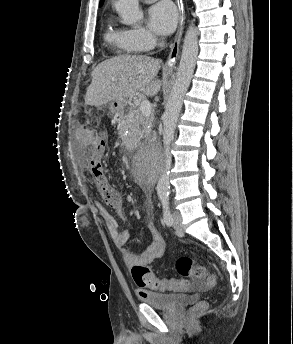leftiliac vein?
Returning a JSON list of instances; mask_svg holds the SVG:
<instances>
[{"mask_svg": "<svg viewBox=\"0 0 293 344\" xmlns=\"http://www.w3.org/2000/svg\"><path fill=\"white\" fill-rule=\"evenodd\" d=\"M173 227L175 229V234L178 237L184 236V228L182 225V216H181L180 212H178V211H175L173 213Z\"/></svg>", "mask_w": 293, "mask_h": 344, "instance_id": "4c4485c4", "label": "left iliac vein"}]
</instances>
